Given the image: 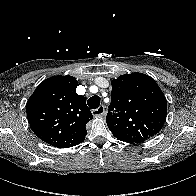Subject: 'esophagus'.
<instances>
[{
    "mask_svg": "<svg viewBox=\"0 0 196 196\" xmlns=\"http://www.w3.org/2000/svg\"><path fill=\"white\" fill-rule=\"evenodd\" d=\"M92 114L94 117H102L105 115L104 106H99L97 109L92 110Z\"/></svg>",
    "mask_w": 196,
    "mask_h": 196,
    "instance_id": "34e87169",
    "label": "esophagus"
}]
</instances>
